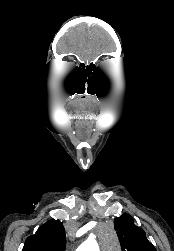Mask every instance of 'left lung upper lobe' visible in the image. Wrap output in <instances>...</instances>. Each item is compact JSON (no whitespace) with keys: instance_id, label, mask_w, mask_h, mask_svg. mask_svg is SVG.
<instances>
[{"instance_id":"obj_1","label":"left lung upper lobe","mask_w":174,"mask_h":251,"mask_svg":"<svg viewBox=\"0 0 174 251\" xmlns=\"http://www.w3.org/2000/svg\"><path fill=\"white\" fill-rule=\"evenodd\" d=\"M114 228L117 230L122 251H156L146 238L145 231L134 224L129 214L115 218Z\"/></svg>"}]
</instances>
